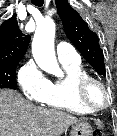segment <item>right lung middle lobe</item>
I'll return each instance as SVG.
<instances>
[{"instance_id":"dd1d6c3e","label":"right lung middle lobe","mask_w":117,"mask_h":136,"mask_svg":"<svg viewBox=\"0 0 117 136\" xmlns=\"http://www.w3.org/2000/svg\"><path fill=\"white\" fill-rule=\"evenodd\" d=\"M18 63H0V88L16 89L15 68Z\"/></svg>"}]
</instances>
